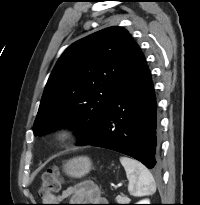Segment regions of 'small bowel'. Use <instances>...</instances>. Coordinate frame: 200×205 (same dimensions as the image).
I'll return each instance as SVG.
<instances>
[{
  "instance_id": "obj_1",
  "label": "small bowel",
  "mask_w": 200,
  "mask_h": 205,
  "mask_svg": "<svg viewBox=\"0 0 200 205\" xmlns=\"http://www.w3.org/2000/svg\"><path fill=\"white\" fill-rule=\"evenodd\" d=\"M70 198L74 202L101 203L105 200L101 197L96 185L91 181H84L66 188L59 196L45 198V202L52 203ZM49 205V204H48ZM105 205V204H88Z\"/></svg>"
}]
</instances>
